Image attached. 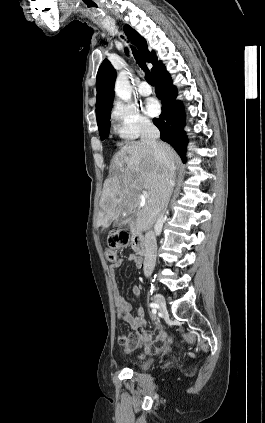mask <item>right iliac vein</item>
I'll return each instance as SVG.
<instances>
[{
    "instance_id": "right-iliac-vein-1",
    "label": "right iliac vein",
    "mask_w": 265,
    "mask_h": 423,
    "mask_svg": "<svg viewBox=\"0 0 265 423\" xmlns=\"http://www.w3.org/2000/svg\"><path fill=\"white\" fill-rule=\"evenodd\" d=\"M154 302H155V304L157 305V307L159 308L160 311H164L166 309L165 299L162 295L155 294L154 295Z\"/></svg>"
}]
</instances>
